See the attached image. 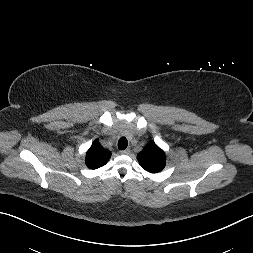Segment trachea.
Returning <instances> with one entry per match:
<instances>
[{
  "label": "trachea",
  "instance_id": "3493384b",
  "mask_svg": "<svg viewBox=\"0 0 253 253\" xmlns=\"http://www.w3.org/2000/svg\"><path fill=\"white\" fill-rule=\"evenodd\" d=\"M127 146H128V141H127V139H126L125 137H121V138L119 139V141H118V148H119L120 150H124V149L127 148Z\"/></svg>",
  "mask_w": 253,
  "mask_h": 253
}]
</instances>
